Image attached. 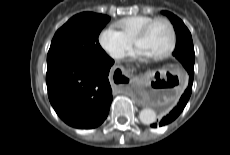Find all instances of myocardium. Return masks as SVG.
Here are the masks:
<instances>
[{"instance_id": "myocardium-1", "label": "myocardium", "mask_w": 230, "mask_h": 155, "mask_svg": "<svg viewBox=\"0 0 230 155\" xmlns=\"http://www.w3.org/2000/svg\"><path fill=\"white\" fill-rule=\"evenodd\" d=\"M160 21L165 22L169 26L170 33H171V40H170V44L168 48L164 52L151 56V58L154 60H161V59L167 58L168 56L172 54L173 50L175 49L176 42H177V34H176L175 26L170 19L166 17H156L152 19L140 29V31L137 33V35L135 36L133 40L134 45L137 46L138 41L147 35L149 30L155 23L160 22Z\"/></svg>"}]
</instances>
